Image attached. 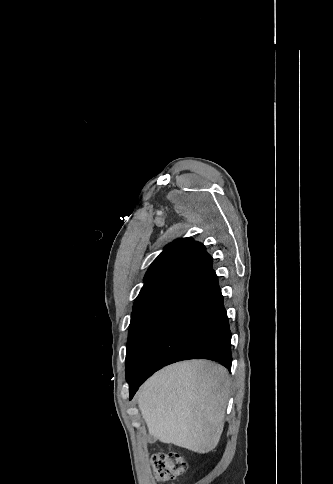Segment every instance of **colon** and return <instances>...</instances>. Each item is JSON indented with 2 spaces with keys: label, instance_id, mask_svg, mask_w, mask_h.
Here are the masks:
<instances>
[{
  "label": "colon",
  "instance_id": "5ec220e1",
  "mask_svg": "<svg viewBox=\"0 0 333 484\" xmlns=\"http://www.w3.org/2000/svg\"><path fill=\"white\" fill-rule=\"evenodd\" d=\"M155 477L159 481H170L183 475L187 469L185 460L177 453L161 451L151 458Z\"/></svg>",
  "mask_w": 333,
  "mask_h": 484
}]
</instances>
